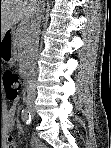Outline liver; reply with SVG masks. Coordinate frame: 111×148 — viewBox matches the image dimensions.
Masks as SVG:
<instances>
[{
	"label": "liver",
	"mask_w": 111,
	"mask_h": 148,
	"mask_svg": "<svg viewBox=\"0 0 111 148\" xmlns=\"http://www.w3.org/2000/svg\"><path fill=\"white\" fill-rule=\"evenodd\" d=\"M39 0H1L0 34L5 33L19 21H28L36 10Z\"/></svg>",
	"instance_id": "liver-1"
}]
</instances>
